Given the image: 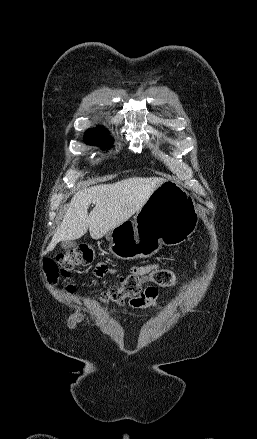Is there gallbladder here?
<instances>
[{
    "label": "gallbladder",
    "mask_w": 257,
    "mask_h": 439,
    "mask_svg": "<svg viewBox=\"0 0 257 439\" xmlns=\"http://www.w3.org/2000/svg\"><path fill=\"white\" fill-rule=\"evenodd\" d=\"M77 246V243L75 241H62L61 242V247L63 249H70V248H75Z\"/></svg>",
    "instance_id": "obj_1"
}]
</instances>
